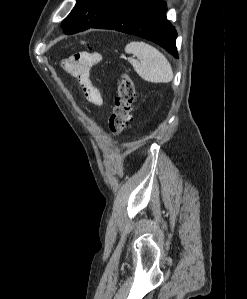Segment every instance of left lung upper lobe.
<instances>
[{
  "mask_svg": "<svg viewBox=\"0 0 247 299\" xmlns=\"http://www.w3.org/2000/svg\"><path fill=\"white\" fill-rule=\"evenodd\" d=\"M124 0H77L71 13L62 21L66 34L91 28L97 21L115 10Z\"/></svg>",
  "mask_w": 247,
  "mask_h": 299,
  "instance_id": "5c2ea615",
  "label": "left lung upper lobe"
}]
</instances>
